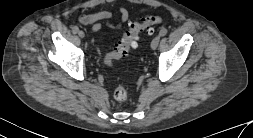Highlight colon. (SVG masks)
Masks as SVG:
<instances>
[{
  "label": "colon",
  "mask_w": 253,
  "mask_h": 138,
  "mask_svg": "<svg viewBox=\"0 0 253 138\" xmlns=\"http://www.w3.org/2000/svg\"><path fill=\"white\" fill-rule=\"evenodd\" d=\"M161 23L162 20L157 15H149L138 22L131 23L129 29L124 33L115 48L106 55L105 62L110 65L114 60L127 55L132 49L137 47L142 33H153L155 28ZM113 95L117 102H123L127 99L128 92L124 86L120 85L115 89Z\"/></svg>",
  "instance_id": "5ec220e1"
}]
</instances>
